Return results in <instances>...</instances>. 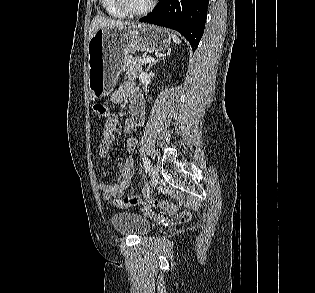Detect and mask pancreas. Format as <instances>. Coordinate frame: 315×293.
Segmentation results:
<instances>
[{
  "label": "pancreas",
  "instance_id": "1",
  "mask_svg": "<svg viewBox=\"0 0 315 293\" xmlns=\"http://www.w3.org/2000/svg\"><path fill=\"white\" fill-rule=\"evenodd\" d=\"M139 58L127 56L125 58L124 67L126 70L125 77L128 79H136L143 70V63L138 61Z\"/></svg>",
  "mask_w": 315,
  "mask_h": 293
}]
</instances>
